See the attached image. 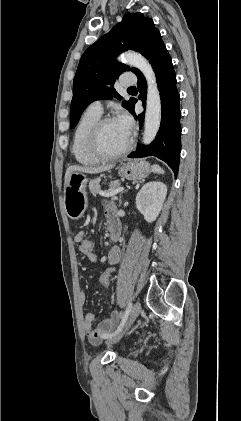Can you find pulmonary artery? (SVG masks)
<instances>
[{"label": "pulmonary artery", "mask_w": 241, "mask_h": 421, "mask_svg": "<svg viewBox=\"0 0 241 421\" xmlns=\"http://www.w3.org/2000/svg\"><path fill=\"white\" fill-rule=\"evenodd\" d=\"M136 83V78L135 77H133V76H126V77H124L123 79H122V81H121V84H122V86H124V87H129V86H132V85H134ZM89 108L91 109V110H93V111H95V112H97V113H99V114H101L102 113V111H103V106H102V103H101V101H93L90 105H89Z\"/></svg>", "instance_id": "1"}]
</instances>
